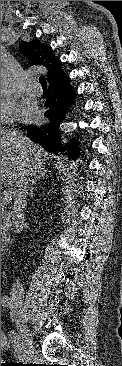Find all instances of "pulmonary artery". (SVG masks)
<instances>
[{"label":"pulmonary artery","instance_id":"pulmonary-artery-1","mask_svg":"<svg viewBox=\"0 0 122 366\" xmlns=\"http://www.w3.org/2000/svg\"><path fill=\"white\" fill-rule=\"evenodd\" d=\"M23 90L26 94L35 97L40 96L42 94L40 86L33 81H27L23 86Z\"/></svg>","mask_w":122,"mask_h":366}]
</instances>
